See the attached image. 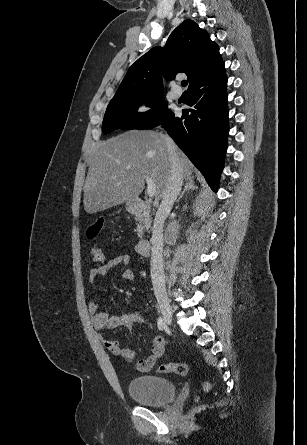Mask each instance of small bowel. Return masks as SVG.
Returning <instances> with one entry per match:
<instances>
[{
	"mask_svg": "<svg viewBox=\"0 0 307 445\" xmlns=\"http://www.w3.org/2000/svg\"><path fill=\"white\" fill-rule=\"evenodd\" d=\"M131 262L129 254H120L112 258L106 265L93 268L88 274V282L95 284L98 277L107 275L112 269L118 266H128ZM123 277L126 279H133V272L127 268L123 272ZM88 311L92 316V323L95 329L101 333L119 327H125L133 331L136 326L149 324L148 318L135 309L128 313L109 314L108 311H103L98 302L91 301L88 303ZM105 347L114 355L120 356L124 361L131 362L135 358V352L130 348H121L118 342L109 339H103ZM164 352V338L157 335L152 340L151 350L149 355L137 362V368L141 372L150 371Z\"/></svg>",
	"mask_w": 307,
	"mask_h": 445,
	"instance_id": "1",
	"label": "small bowel"
}]
</instances>
